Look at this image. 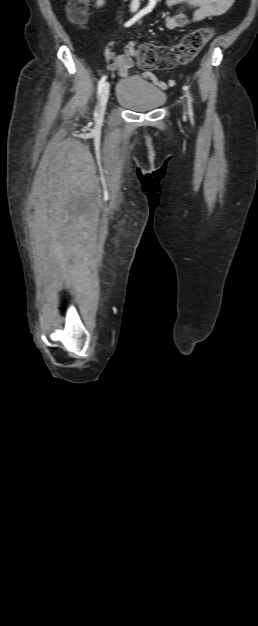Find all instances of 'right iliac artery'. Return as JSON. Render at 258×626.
<instances>
[{
	"label": "right iliac artery",
	"mask_w": 258,
	"mask_h": 626,
	"mask_svg": "<svg viewBox=\"0 0 258 626\" xmlns=\"http://www.w3.org/2000/svg\"><path fill=\"white\" fill-rule=\"evenodd\" d=\"M147 13V11L145 9L141 10L139 13H137L133 18H131L130 20H128L124 26L125 27H130L131 25H133L138 19H140L142 16H144ZM107 76L104 75L99 83H98V89H97V93H98V97L101 95L102 93V89L105 85V81H106ZM95 115H97V108L95 110Z\"/></svg>",
	"instance_id": "obj_1"
}]
</instances>
